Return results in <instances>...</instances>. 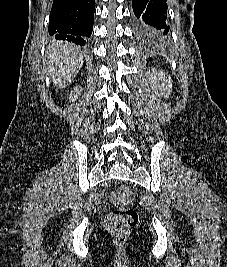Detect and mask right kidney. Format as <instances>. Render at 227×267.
<instances>
[{
	"mask_svg": "<svg viewBox=\"0 0 227 267\" xmlns=\"http://www.w3.org/2000/svg\"><path fill=\"white\" fill-rule=\"evenodd\" d=\"M82 89L81 87H74V89L70 92V95H69V100L70 101H75L77 99V97L80 95Z\"/></svg>",
	"mask_w": 227,
	"mask_h": 267,
	"instance_id": "1",
	"label": "right kidney"
}]
</instances>
